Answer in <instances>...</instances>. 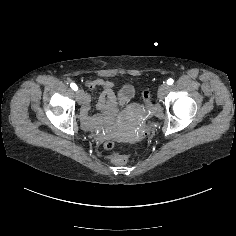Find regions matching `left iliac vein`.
<instances>
[{
	"mask_svg": "<svg viewBox=\"0 0 236 236\" xmlns=\"http://www.w3.org/2000/svg\"><path fill=\"white\" fill-rule=\"evenodd\" d=\"M168 90H169V86L167 84H161L158 89V96L163 97L164 95H166Z\"/></svg>",
	"mask_w": 236,
	"mask_h": 236,
	"instance_id": "4c4485c4",
	"label": "left iliac vein"
}]
</instances>
